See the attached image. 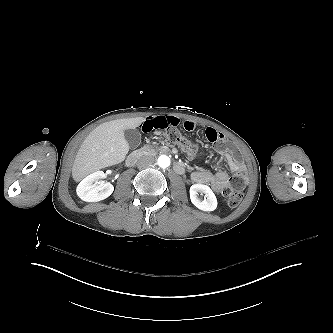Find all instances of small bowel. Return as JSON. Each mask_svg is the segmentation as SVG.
Returning a JSON list of instances; mask_svg holds the SVG:
<instances>
[{"label":"small bowel","mask_w":333,"mask_h":333,"mask_svg":"<svg viewBox=\"0 0 333 333\" xmlns=\"http://www.w3.org/2000/svg\"><path fill=\"white\" fill-rule=\"evenodd\" d=\"M179 123L180 120L176 117H150L143 122L142 128L144 131H151L155 128L177 126ZM183 126L186 130L192 131L196 128V123L193 120L187 119L183 121ZM205 136L209 143L217 142L211 146V151L213 153H220L228 162L235 176L246 183L247 174L245 166L241 161L242 155L232 151L233 144L231 142H223L225 140V135L213 128H207L205 130ZM210 163L212 165H218L220 163V158L218 156H212L210 158ZM190 177L196 183H209L216 194H221L224 187L230 183L228 174L223 170H218L214 173L210 171H195Z\"/></svg>","instance_id":"small-bowel-1"}]
</instances>
